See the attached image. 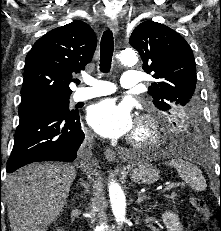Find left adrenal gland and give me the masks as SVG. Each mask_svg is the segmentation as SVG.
Wrapping results in <instances>:
<instances>
[{
	"label": "left adrenal gland",
	"mask_w": 221,
	"mask_h": 231,
	"mask_svg": "<svg viewBox=\"0 0 221 231\" xmlns=\"http://www.w3.org/2000/svg\"><path fill=\"white\" fill-rule=\"evenodd\" d=\"M144 200H147V197L144 196L141 192H138V199H137L136 203L139 205L142 202H144Z\"/></svg>",
	"instance_id": "obj_1"
}]
</instances>
